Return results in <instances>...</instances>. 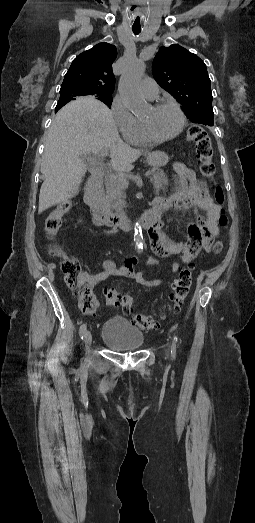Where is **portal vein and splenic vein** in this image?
<instances>
[{"label":"portal vein and splenic vein","mask_w":255,"mask_h":523,"mask_svg":"<svg viewBox=\"0 0 255 523\" xmlns=\"http://www.w3.org/2000/svg\"><path fill=\"white\" fill-rule=\"evenodd\" d=\"M94 154H97V152H94ZM105 154H107V152H105ZM105 154H102L101 152V156H105ZM103 173L108 175H123L125 170L123 168H117L115 165L110 167V163H105ZM148 176H151V173L148 171H145V173L142 174L143 178H148ZM123 186L128 188V182H126V180H124Z\"/></svg>","instance_id":"18ae733b"}]
</instances>
